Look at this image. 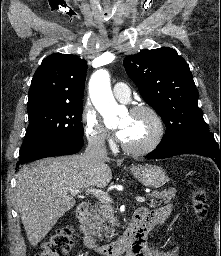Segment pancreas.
<instances>
[{
    "label": "pancreas",
    "mask_w": 221,
    "mask_h": 256,
    "mask_svg": "<svg viewBox=\"0 0 221 256\" xmlns=\"http://www.w3.org/2000/svg\"><path fill=\"white\" fill-rule=\"evenodd\" d=\"M176 190L169 189L164 191H153L151 194V201L148 206L154 208L160 206L162 203L167 204L175 197ZM117 220L114 217L113 206L110 202L100 201L91 208V214L88 225L99 239L106 237L112 238L115 235L114 225Z\"/></svg>",
    "instance_id": "pancreas-1"
}]
</instances>
